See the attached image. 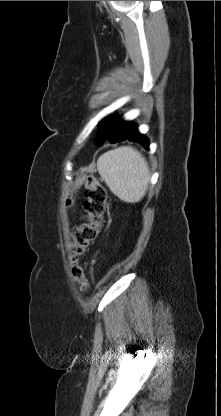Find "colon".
Instances as JSON below:
<instances>
[{
    "mask_svg": "<svg viewBox=\"0 0 221 416\" xmlns=\"http://www.w3.org/2000/svg\"><path fill=\"white\" fill-rule=\"evenodd\" d=\"M76 184L85 186L84 211L87 218L72 231L73 244L70 249L71 274L81 288L86 290L87 281L78 260L85 249L99 236L104 223L108 197L105 188L95 176L80 177L77 179ZM72 202L73 199L69 198L68 204Z\"/></svg>",
    "mask_w": 221,
    "mask_h": 416,
    "instance_id": "colon-1",
    "label": "colon"
}]
</instances>
